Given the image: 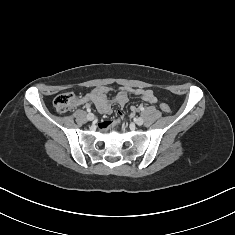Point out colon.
Wrapping results in <instances>:
<instances>
[{
    "mask_svg": "<svg viewBox=\"0 0 235 235\" xmlns=\"http://www.w3.org/2000/svg\"><path fill=\"white\" fill-rule=\"evenodd\" d=\"M54 107L59 113H67L70 110H72L76 104H77V99L74 94L72 93H62L59 94L55 97L54 99ZM161 110L165 113L170 112V107L166 103H161L160 105Z\"/></svg>",
    "mask_w": 235,
    "mask_h": 235,
    "instance_id": "obj_1",
    "label": "colon"
}]
</instances>
